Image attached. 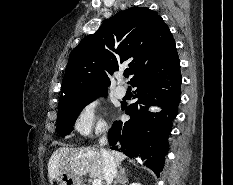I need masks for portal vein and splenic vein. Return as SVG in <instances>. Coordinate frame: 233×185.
Listing matches in <instances>:
<instances>
[{"label":"portal vein and splenic vein","mask_w":233,"mask_h":185,"mask_svg":"<svg viewBox=\"0 0 233 185\" xmlns=\"http://www.w3.org/2000/svg\"><path fill=\"white\" fill-rule=\"evenodd\" d=\"M102 184V180L101 179H94L92 182V185H101Z\"/></svg>","instance_id":"18ae733b"}]
</instances>
